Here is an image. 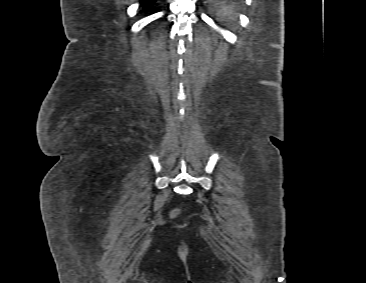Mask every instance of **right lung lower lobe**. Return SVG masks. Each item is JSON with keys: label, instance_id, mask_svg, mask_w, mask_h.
I'll list each match as a JSON object with an SVG mask.
<instances>
[{"label": "right lung lower lobe", "instance_id": "right-lung-lower-lobe-1", "mask_svg": "<svg viewBox=\"0 0 366 283\" xmlns=\"http://www.w3.org/2000/svg\"><path fill=\"white\" fill-rule=\"evenodd\" d=\"M155 0H140L141 6L145 8L150 7V5L154 2Z\"/></svg>", "mask_w": 366, "mask_h": 283}]
</instances>
